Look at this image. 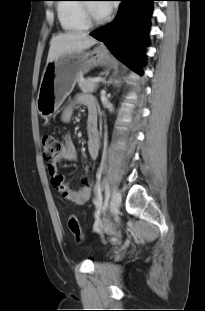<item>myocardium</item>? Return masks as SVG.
<instances>
[{"label":"myocardium","instance_id":"obj_1","mask_svg":"<svg viewBox=\"0 0 205 311\" xmlns=\"http://www.w3.org/2000/svg\"><path fill=\"white\" fill-rule=\"evenodd\" d=\"M81 7H82L84 21L88 27H95V26H99L104 23L105 18L103 16L99 18L94 16V13L91 8V4L85 3V4H82Z\"/></svg>","mask_w":205,"mask_h":311}]
</instances>
